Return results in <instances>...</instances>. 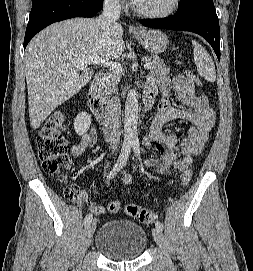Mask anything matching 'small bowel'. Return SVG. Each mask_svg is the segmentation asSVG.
Segmentation results:
<instances>
[{
  "instance_id": "1",
  "label": "small bowel",
  "mask_w": 253,
  "mask_h": 271,
  "mask_svg": "<svg viewBox=\"0 0 253 271\" xmlns=\"http://www.w3.org/2000/svg\"><path fill=\"white\" fill-rule=\"evenodd\" d=\"M195 84V78L184 75H176L172 78L158 75L150 78L147 83L146 91L154 96L159 94L160 99L158 113L152 121L146 146L160 151L161 156L147 159L146 164L162 174L175 169L187 171L193 163V157L203 152L211 136L216 115L207 99L196 95ZM169 89H173L179 100L189 109L183 110L170 106ZM176 119L189 121L193 125L180 144L175 134L163 131L167 123ZM96 138L97 132L92 128L81 136L79 143L71 147V154L74 157L82 155L87 147L95 145ZM123 179L126 183L130 182V177L126 174ZM90 209L97 215L106 212L103 206L96 203H90Z\"/></svg>"
}]
</instances>
